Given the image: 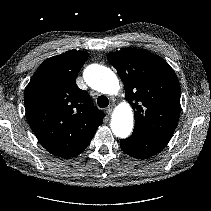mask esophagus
I'll use <instances>...</instances> for the list:
<instances>
[{"mask_svg":"<svg viewBox=\"0 0 211 211\" xmlns=\"http://www.w3.org/2000/svg\"><path fill=\"white\" fill-rule=\"evenodd\" d=\"M113 109H114V106H113V105H110V106L106 109V113H107L108 115H110V114L112 113Z\"/></svg>","mask_w":211,"mask_h":211,"instance_id":"1","label":"esophagus"}]
</instances>
